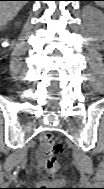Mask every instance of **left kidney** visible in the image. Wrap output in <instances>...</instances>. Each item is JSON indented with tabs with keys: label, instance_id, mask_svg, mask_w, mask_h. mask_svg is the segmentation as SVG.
<instances>
[{
	"label": "left kidney",
	"instance_id": "obj_1",
	"mask_svg": "<svg viewBox=\"0 0 104 189\" xmlns=\"http://www.w3.org/2000/svg\"><path fill=\"white\" fill-rule=\"evenodd\" d=\"M86 15L88 18L90 19H94L97 18L99 22H103V13L101 11L92 9V8H88L85 11Z\"/></svg>",
	"mask_w": 104,
	"mask_h": 189
}]
</instances>
